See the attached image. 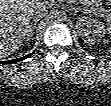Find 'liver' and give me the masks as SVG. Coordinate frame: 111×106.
Returning <instances> with one entry per match:
<instances>
[{"label": "liver", "mask_w": 111, "mask_h": 106, "mask_svg": "<svg viewBox=\"0 0 111 106\" xmlns=\"http://www.w3.org/2000/svg\"><path fill=\"white\" fill-rule=\"evenodd\" d=\"M38 0L0 1V55L9 56L24 40L31 20L30 10Z\"/></svg>", "instance_id": "1"}]
</instances>
